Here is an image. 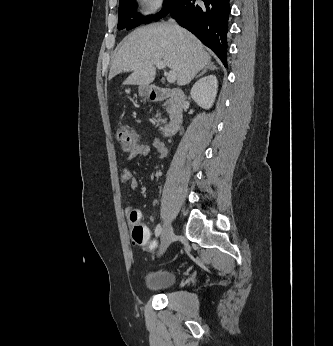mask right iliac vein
I'll list each match as a JSON object with an SVG mask.
<instances>
[{
	"mask_svg": "<svg viewBox=\"0 0 333 346\" xmlns=\"http://www.w3.org/2000/svg\"><path fill=\"white\" fill-rule=\"evenodd\" d=\"M172 236H173L172 225L170 222H166L163 227L162 236H161V244L159 249L160 256L166 251V249L170 245Z\"/></svg>",
	"mask_w": 333,
	"mask_h": 346,
	"instance_id": "right-iliac-vein-1",
	"label": "right iliac vein"
}]
</instances>
